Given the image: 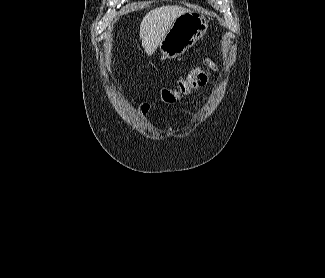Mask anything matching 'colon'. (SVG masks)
<instances>
[{
    "label": "colon",
    "mask_w": 325,
    "mask_h": 278,
    "mask_svg": "<svg viewBox=\"0 0 325 278\" xmlns=\"http://www.w3.org/2000/svg\"><path fill=\"white\" fill-rule=\"evenodd\" d=\"M215 69L216 64L207 59L203 66L194 68L190 74L181 78L175 86L163 88L160 91V100L164 103H173L189 95L192 91L203 87ZM150 106L151 104L148 102L142 103L140 106L142 113H146Z\"/></svg>",
    "instance_id": "1"
}]
</instances>
